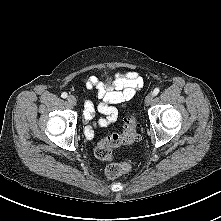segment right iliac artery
<instances>
[{"label":"right iliac artery","mask_w":221,"mask_h":221,"mask_svg":"<svg viewBox=\"0 0 221 221\" xmlns=\"http://www.w3.org/2000/svg\"><path fill=\"white\" fill-rule=\"evenodd\" d=\"M61 97H62V98H67V97H68V94H67L66 92H63V93L61 94Z\"/></svg>","instance_id":"right-iliac-artery-1"}]
</instances>
